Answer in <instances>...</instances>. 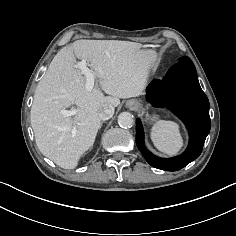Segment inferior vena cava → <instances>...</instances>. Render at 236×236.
Wrapping results in <instances>:
<instances>
[{
	"label": "inferior vena cava",
	"mask_w": 236,
	"mask_h": 236,
	"mask_svg": "<svg viewBox=\"0 0 236 236\" xmlns=\"http://www.w3.org/2000/svg\"><path fill=\"white\" fill-rule=\"evenodd\" d=\"M114 114V107L112 105H105L98 113L100 120H108Z\"/></svg>",
	"instance_id": "1"
}]
</instances>
